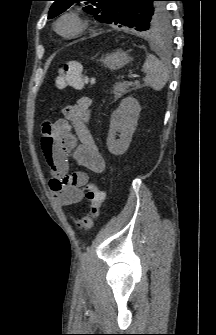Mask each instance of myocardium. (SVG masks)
<instances>
[{"instance_id": "f54148a6", "label": "myocardium", "mask_w": 216, "mask_h": 335, "mask_svg": "<svg viewBox=\"0 0 216 335\" xmlns=\"http://www.w3.org/2000/svg\"><path fill=\"white\" fill-rule=\"evenodd\" d=\"M69 21L73 24L72 30L63 32L60 25L63 22ZM88 27L87 21L77 12H67L62 14L55 22V31L64 38H74L85 31Z\"/></svg>"}]
</instances>
